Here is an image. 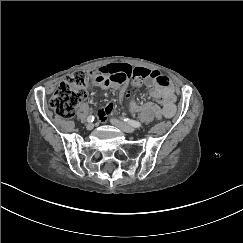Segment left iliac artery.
Here are the masks:
<instances>
[{
  "instance_id": "44dca946",
  "label": "left iliac artery",
  "mask_w": 243,
  "mask_h": 243,
  "mask_svg": "<svg viewBox=\"0 0 243 243\" xmlns=\"http://www.w3.org/2000/svg\"><path fill=\"white\" fill-rule=\"evenodd\" d=\"M123 120H124V122L130 124V125L133 126V127H136V128L141 127V123L138 122V121H136V120H130V119H128V118H124Z\"/></svg>"
}]
</instances>
